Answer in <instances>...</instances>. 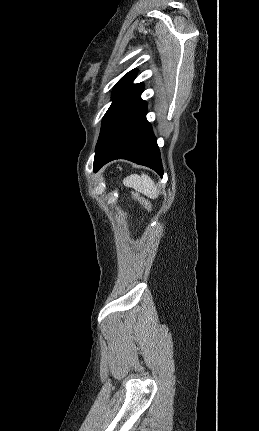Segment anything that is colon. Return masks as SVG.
Segmentation results:
<instances>
[{
    "instance_id": "5ec220e1",
    "label": "colon",
    "mask_w": 259,
    "mask_h": 431,
    "mask_svg": "<svg viewBox=\"0 0 259 431\" xmlns=\"http://www.w3.org/2000/svg\"><path fill=\"white\" fill-rule=\"evenodd\" d=\"M136 200L147 210H151V204L143 197L135 195Z\"/></svg>"
}]
</instances>
